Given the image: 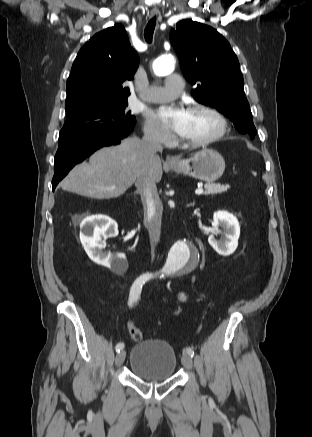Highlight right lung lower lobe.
<instances>
[{
	"label": "right lung lower lobe",
	"mask_w": 312,
	"mask_h": 437,
	"mask_svg": "<svg viewBox=\"0 0 312 437\" xmlns=\"http://www.w3.org/2000/svg\"><path fill=\"white\" fill-rule=\"evenodd\" d=\"M132 129L133 127L115 133L94 136L68 147L58 148L54 161L53 190L76 164L103 146L119 144L121 139L127 137Z\"/></svg>",
	"instance_id": "98d812e1"
}]
</instances>
